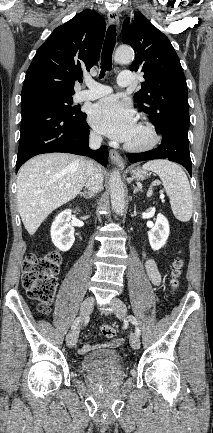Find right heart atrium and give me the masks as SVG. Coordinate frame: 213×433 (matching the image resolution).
<instances>
[{"mask_svg": "<svg viewBox=\"0 0 213 433\" xmlns=\"http://www.w3.org/2000/svg\"><path fill=\"white\" fill-rule=\"evenodd\" d=\"M91 137H92L94 140H99V139H100V136H99L96 132H92V133H91Z\"/></svg>", "mask_w": 213, "mask_h": 433, "instance_id": "1", "label": "right heart atrium"}]
</instances>
